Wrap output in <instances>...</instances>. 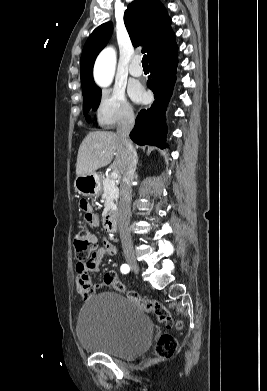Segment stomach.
<instances>
[{
  "instance_id": "0dacf381",
  "label": "stomach",
  "mask_w": 267,
  "mask_h": 391,
  "mask_svg": "<svg viewBox=\"0 0 267 391\" xmlns=\"http://www.w3.org/2000/svg\"><path fill=\"white\" fill-rule=\"evenodd\" d=\"M76 192L86 197H97L101 193L100 175L96 172L78 176L75 179Z\"/></svg>"
}]
</instances>
